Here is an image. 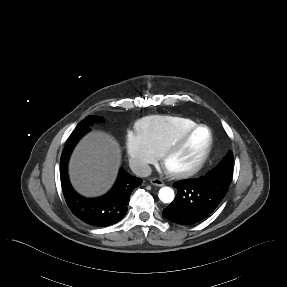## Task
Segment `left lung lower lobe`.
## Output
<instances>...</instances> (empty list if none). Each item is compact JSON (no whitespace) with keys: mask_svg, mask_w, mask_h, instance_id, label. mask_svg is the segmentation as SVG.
I'll use <instances>...</instances> for the list:
<instances>
[{"mask_svg":"<svg viewBox=\"0 0 287 287\" xmlns=\"http://www.w3.org/2000/svg\"><path fill=\"white\" fill-rule=\"evenodd\" d=\"M224 170L214 168L198 179L182 180L174 201L163 210V216L183 225L195 224L208 217L224 198L230 183Z\"/></svg>","mask_w":287,"mask_h":287,"instance_id":"1","label":"left lung lower lobe"}]
</instances>
